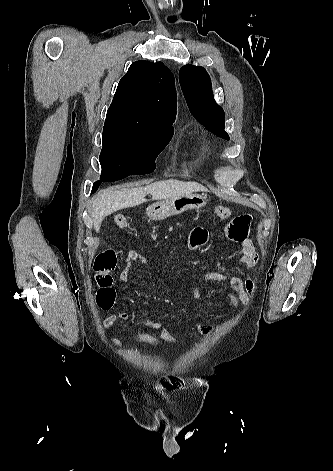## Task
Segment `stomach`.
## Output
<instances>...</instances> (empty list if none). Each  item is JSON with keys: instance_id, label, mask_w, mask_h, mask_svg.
<instances>
[{"instance_id": "obj_1", "label": "stomach", "mask_w": 333, "mask_h": 471, "mask_svg": "<svg viewBox=\"0 0 333 471\" xmlns=\"http://www.w3.org/2000/svg\"><path fill=\"white\" fill-rule=\"evenodd\" d=\"M206 197L199 194L180 195L156 202L147 208L150 220L160 221L187 210L200 209L206 205Z\"/></svg>"}]
</instances>
